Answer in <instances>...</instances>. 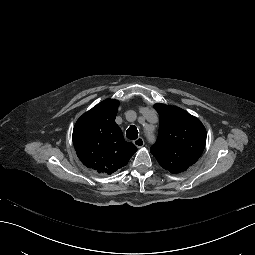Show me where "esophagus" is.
Returning <instances> with one entry per match:
<instances>
[{
    "mask_svg": "<svg viewBox=\"0 0 255 255\" xmlns=\"http://www.w3.org/2000/svg\"><path fill=\"white\" fill-rule=\"evenodd\" d=\"M136 147L141 148L144 146V139L142 137H139L133 141Z\"/></svg>",
    "mask_w": 255,
    "mask_h": 255,
    "instance_id": "34e87169",
    "label": "esophagus"
}]
</instances>
